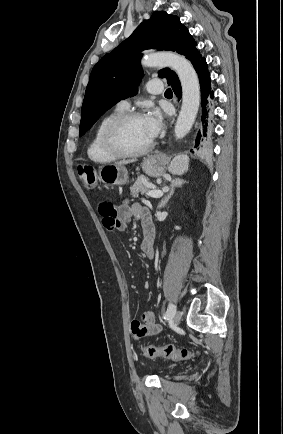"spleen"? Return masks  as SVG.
I'll list each match as a JSON object with an SVG mask.
<instances>
[{
  "instance_id": "3e777b00",
  "label": "spleen",
  "mask_w": 283,
  "mask_h": 434,
  "mask_svg": "<svg viewBox=\"0 0 283 434\" xmlns=\"http://www.w3.org/2000/svg\"><path fill=\"white\" fill-rule=\"evenodd\" d=\"M188 167L189 158L186 155H179L171 161L168 169L172 174L182 175L188 170Z\"/></svg>"
}]
</instances>
